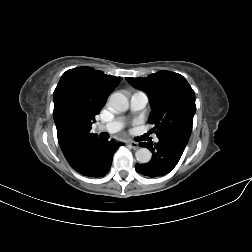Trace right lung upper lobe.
Returning <instances> with one entry per match:
<instances>
[{"mask_svg": "<svg viewBox=\"0 0 252 252\" xmlns=\"http://www.w3.org/2000/svg\"><path fill=\"white\" fill-rule=\"evenodd\" d=\"M120 79L91 67H77L62 75L53 93V117L64 155L84 139L97 137L90 132L91 125Z\"/></svg>", "mask_w": 252, "mask_h": 252, "instance_id": "cb5924a9", "label": "right lung upper lobe"}]
</instances>
